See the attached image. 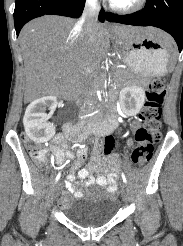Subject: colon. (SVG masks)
Listing matches in <instances>:
<instances>
[{"label": "colon", "instance_id": "obj_1", "mask_svg": "<svg viewBox=\"0 0 183 246\" xmlns=\"http://www.w3.org/2000/svg\"><path fill=\"white\" fill-rule=\"evenodd\" d=\"M166 98V89L161 79L150 82L144 108L139 115V127L135 132L136 145L132 152V160L142 166L153 154L155 145L161 138L160 127L162 118V106ZM115 133H108L104 144L105 157H123V152L116 150L115 138L124 135V125H117ZM30 156L38 163L44 164L47 160V149L40 144L32 143L25 139Z\"/></svg>", "mask_w": 183, "mask_h": 246}]
</instances>
